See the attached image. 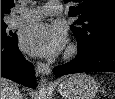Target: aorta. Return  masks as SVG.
<instances>
[{
  "label": "aorta",
  "instance_id": "obj_1",
  "mask_svg": "<svg viewBox=\"0 0 115 99\" xmlns=\"http://www.w3.org/2000/svg\"><path fill=\"white\" fill-rule=\"evenodd\" d=\"M38 99H48V88L46 86V79L41 80V86L38 91Z\"/></svg>",
  "mask_w": 115,
  "mask_h": 99
}]
</instances>
